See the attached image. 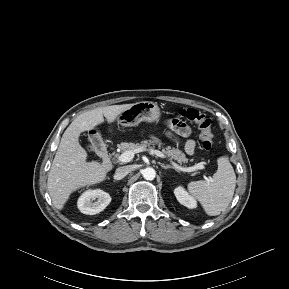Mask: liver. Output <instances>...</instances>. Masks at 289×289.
Listing matches in <instances>:
<instances>
[{
  "label": "liver",
  "instance_id": "6515ba94",
  "mask_svg": "<svg viewBox=\"0 0 289 289\" xmlns=\"http://www.w3.org/2000/svg\"><path fill=\"white\" fill-rule=\"evenodd\" d=\"M132 104L96 108L77 116L62 135L51 165L47 188L53 205L62 210L70 195L77 189L100 183L106 179L107 169L97 161H87L88 154L79 143L82 132L104 122H115Z\"/></svg>",
  "mask_w": 289,
  "mask_h": 289
}]
</instances>
